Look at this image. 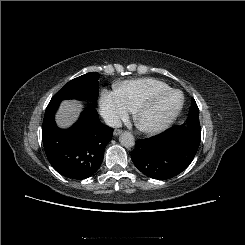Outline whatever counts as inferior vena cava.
<instances>
[{"label":"inferior vena cava","instance_id":"inferior-vena-cava-1","mask_svg":"<svg viewBox=\"0 0 245 245\" xmlns=\"http://www.w3.org/2000/svg\"><path fill=\"white\" fill-rule=\"evenodd\" d=\"M104 121L108 126L113 127V128H119L122 126L120 118L116 115H111V114L106 115L104 117Z\"/></svg>","mask_w":245,"mask_h":245}]
</instances>
